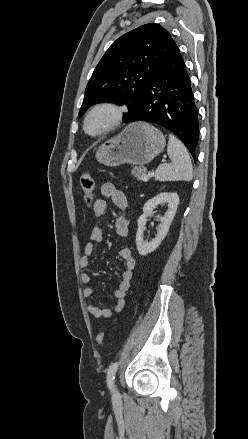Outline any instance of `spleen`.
<instances>
[{"label":"spleen","instance_id":"1","mask_svg":"<svg viewBox=\"0 0 248 439\" xmlns=\"http://www.w3.org/2000/svg\"><path fill=\"white\" fill-rule=\"evenodd\" d=\"M167 154L171 162L158 166L155 179L158 181H191L193 168L190 156L183 143L174 135H169Z\"/></svg>","mask_w":248,"mask_h":439}]
</instances>
